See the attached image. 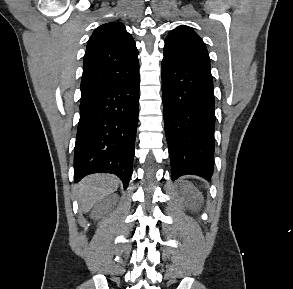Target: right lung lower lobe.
<instances>
[{"label":"right lung lower lobe","instance_id":"right-lung-lower-lobe-1","mask_svg":"<svg viewBox=\"0 0 293 289\" xmlns=\"http://www.w3.org/2000/svg\"><path fill=\"white\" fill-rule=\"evenodd\" d=\"M139 113V76L80 101L74 180L117 175L126 189L132 174Z\"/></svg>","mask_w":293,"mask_h":289}]
</instances>
